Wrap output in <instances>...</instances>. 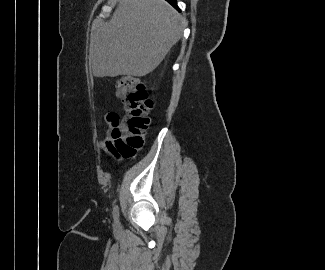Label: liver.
<instances>
[{"label": "liver", "instance_id": "6515ba94", "mask_svg": "<svg viewBox=\"0 0 325 270\" xmlns=\"http://www.w3.org/2000/svg\"><path fill=\"white\" fill-rule=\"evenodd\" d=\"M182 17L164 0H121L112 18L94 22L89 61L95 77H143L180 39Z\"/></svg>", "mask_w": 325, "mask_h": 270}]
</instances>
